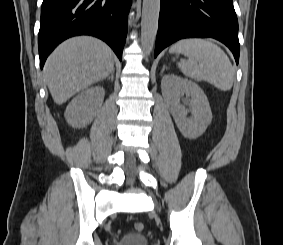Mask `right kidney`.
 <instances>
[{"mask_svg": "<svg viewBox=\"0 0 283 245\" xmlns=\"http://www.w3.org/2000/svg\"><path fill=\"white\" fill-rule=\"evenodd\" d=\"M105 91L101 86L91 87L77 95L67 106L65 118L74 128L89 125L102 106Z\"/></svg>", "mask_w": 283, "mask_h": 245, "instance_id": "obj_1", "label": "right kidney"}]
</instances>
